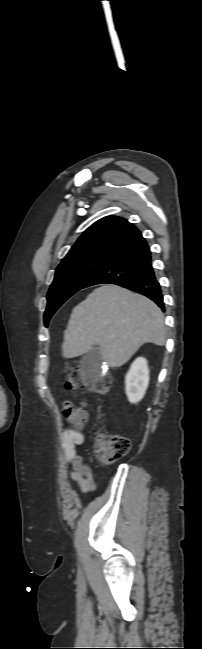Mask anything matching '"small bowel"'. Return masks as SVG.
<instances>
[{"instance_id":"small-bowel-1","label":"small bowel","mask_w":202,"mask_h":649,"mask_svg":"<svg viewBox=\"0 0 202 649\" xmlns=\"http://www.w3.org/2000/svg\"><path fill=\"white\" fill-rule=\"evenodd\" d=\"M84 434L75 429L66 428L62 436V449L65 458L71 467L69 479L77 483L83 494L93 495L96 491V482L93 478L92 469L83 462L77 454L76 447L84 443Z\"/></svg>"}]
</instances>
